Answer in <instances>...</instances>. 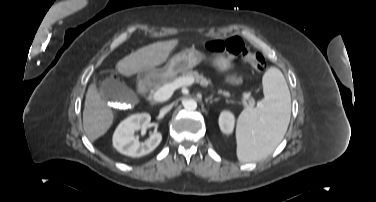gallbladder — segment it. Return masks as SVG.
<instances>
[{"mask_svg":"<svg viewBox=\"0 0 376 202\" xmlns=\"http://www.w3.org/2000/svg\"><path fill=\"white\" fill-rule=\"evenodd\" d=\"M100 93L105 101L113 103L133 102L136 98L134 92L122 82L108 78L101 83Z\"/></svg>","mask_w":376,"mask_h":202,"instance_id":"1","label":"gallbladder"}]
</instances>
